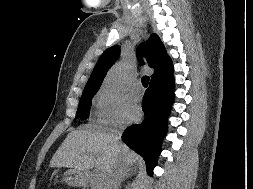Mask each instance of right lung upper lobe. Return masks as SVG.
I'll use <instances>...</instances> for the list:
<instances>
[{"mask_svg":"<svg viewBox=\"0 0 253 189\" xmlns=\"http://www.w3.org/2000/svg\"><path fill=\"white\" fill-rule=\"evenodd\" d=\"M144 50L147 51L149 66L154 69L151 80L167 76L173 72L172 60L167 55L164 45L156 34L150 36L149 40L146 42L145 48L143 44L138 47L137 56L141 64H143L142 54ZM119 54L120 48L118 45L110 47L102 54L91 73L84 91L100 88L107 71L117 61Z\"/></svg>","mask_w":253,"mask_h":189,"instance_id":"obj_1","label":"right lung upper lobe"}]
</instances>
